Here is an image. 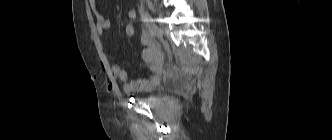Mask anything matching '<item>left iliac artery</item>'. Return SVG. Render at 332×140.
Masks as SVG:
<instances>
[{
	"label": "left iliac artery",
	"instance_id": "obj_1",
	"mask_svg": "<svg viewBox=\"0 0 332 140\" xmlns=\"http://www.w3.org/2000/svg\"><path fill=\"white\" fill-rule=\"evenodd\" d=\"M143 21L146 23L147 27L149 28L150 32H153V18L150 16L148 12L143 13Z\"/></svg>",
	"mask_w": 332,
	"mask_h": 140
}]
</instances>
